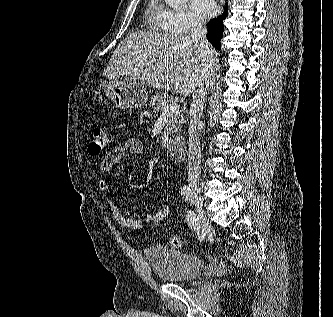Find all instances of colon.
<instances>
[{
	"instance_id": "obj_1",
	"label": "colon",
	"mask_w": 333,
	"mask_h": 317,
	"mask_svg": "<svg viewBox=\"0 0 333 317\" xmlns=\"http://www.w3.org/2000/svg\"><path fill=\"white\" fill-rule=\"evenodd\" d=\"M111 143L109 134L102 128L94 126L91 129V138L88 144V152L90 155L96 156L106 150ZM171 216V207L169 205H164L158 208L153 213L154 225H159L167 221ZM169 245L172 248L178 249L182 246V240L178 236H171L169 238Z\"/></svg>"
}]
</instances>
